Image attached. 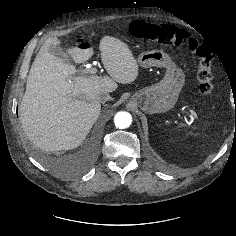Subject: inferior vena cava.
<instances>
[{"instance_id": "inferior-vena-cava-1", "label": "inferior vena cava", "mask_w": 236, "mask_h": 236, "mask_svg": "<svg viewBox=\"0 0 236 236\" xmlns=\"http://www.w3.org/2000/svg\"><path fill=\"white\" fill-rule=\"evenodd\" d=\"M111 99L110 95L108 93H101L98 96V100L102 103L107 102Z\"/></svg>"}]
</instances>
